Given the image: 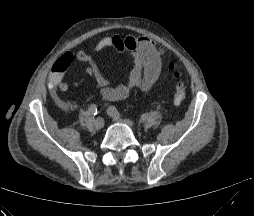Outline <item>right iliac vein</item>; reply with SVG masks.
Returning <instances> with one entry per match:
<instances>
[{
	"label": "right iliac vein",
	"mask_w": 254,
	"mask_h": 216,
	"mask_svg": "<svg viewBox=\"0 0 254 216\" xmlns=\"http://www.w3.org/2000/svg\"><path fill=\"white\" fill-rule=\"evenodd\" d=\"M104 119L99 117L97 119L94 120V126L96 129H101L104 127Z\"/></svg>",
	"instance_id": "63e3f726"
}]
</instances>
